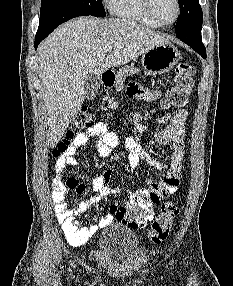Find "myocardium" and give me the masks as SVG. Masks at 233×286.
Wrapping results in <instances>:
<instances>
[{
  "instance_id": "1",
  "label": "myocardium",
  "mask_w": 233,
  "mask_h": 286,
  "mask_svg": "<svg viewBox=\"0 0 233 286\" xmlns=\"http://www.w3.org/2000/svg\"><path fill=\"white\" fill-rule=\"evenodd\" d=\"M141 2H142V6H143V10H144L145 14L157 27H167V26L173 25L178 20L180 13H181V5H180L179 0H174L175 5H176V14H175L174 18L168 23H160V22L155 20L153 14H152L151 0H141Z\"/></svg>"
}]
</instances>
